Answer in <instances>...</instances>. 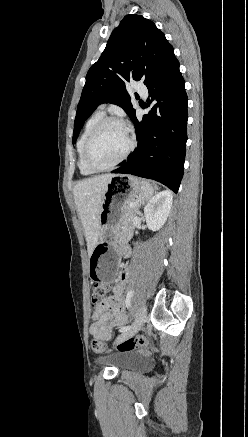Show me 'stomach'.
Masks as SVG:
<instances>
[{
    "label": "stomach",
    "mask_w": 248,
    "mask_h": 437,
    "mask_svg": "<svg viewBox=\"0 0 248 437\" xmlns=\"http://www.w3.org/2000/svg\"><path fill=\"white\" fill-rule=\"evenodd\" d=\"M143 193L138 178L128 174L115 175L104 193L99 216L98 243L90 255L87 271L93 286H114L119 265L116 241L122 228L121 217L124 206Z\"/></svg>",
    "instance_id": "stomach-1"
}]
</instances>
